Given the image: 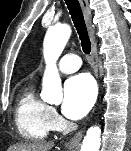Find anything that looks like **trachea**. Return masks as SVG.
<instances>
[{
  "mask_svg": "<svg viewBox=\"0 0 131 151\" xmlns=\"http://www.w3.org/2000/svg\"><path fill=\"white\" fill-rule=\"evenodd\" d=\"M65 3L69 9L72 21L81 40L83 52L85 54H89L91 51V43L80 4L78 0H65Z\"/></svg>",
  "mask_w": 131,
  "mask_h": 151,
  "instance_id": "3493384b",
  "label": "trachea"
}]
</instances>
